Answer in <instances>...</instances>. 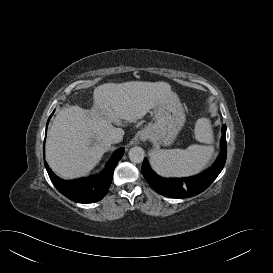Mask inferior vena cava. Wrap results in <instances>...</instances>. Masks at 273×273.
I'll return each instance as SVG.
<instances>
[{"label":"inferior vena cava","instance_id":"1","mask_svg":"<svg viewBox=\"0 0 273 273\" xmlns=\"http://www.w3.org/2000/svg\"><path fill=\"white\" fill-rule=\"evenodd\" d=\"M109 141L113 143H119L123 139V131L120 128H116L109 136Z\"/></svg>","mask_w":273,"mask_h":273}]
</instances>
